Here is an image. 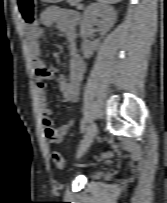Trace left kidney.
I'll list each match as a JSON object with an SVG mask.
<instances>
[{
    "label": "left kidney",
    "instance_id": "left-kidney-1",
    "mask_svg": "<svg viewBox=\"0 0 167 203\" xmlns=\"http://www.w3.org/2000/svg\"><path fill=\"white\" fill-rule=\"evenodd\" d=\"M98 17L102 20L99 21ZM115 21L116 13L111 7H106L101 3H93L88 6L84 12L80 29V35L83 39L81 47L85 58H90L99 46V41L92 42L87 39L92 25H98L103 36L114 25Z\"/></svg>",
    "mask_w": 167,
    "mask_h": 203
}]
</instances>
